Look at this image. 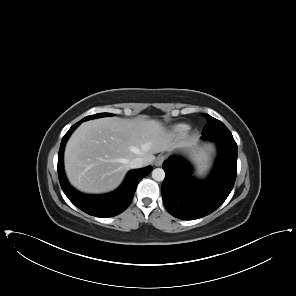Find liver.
Returning <instances> with one entry per match:
<instances>
[{"mask_svg":"<svg viewBox=\"0 0 296 296\" xmlns=\"http://www.w3.org/2000/svg\"><path fill=\"white\" fill-rule=\"evenodd\" d=\"M196 137L177 141L158 120L107 117L82 123L67 142L64 163L70 183L85 193H105L117 188L140 157L144 166L154 154L179 147H192ZM195 159L206 156L194 151Z\"/></svg>","mask_w":296,"mask_h":296,"instance_id":"obj_1","label":"liver"}]
</instances>
